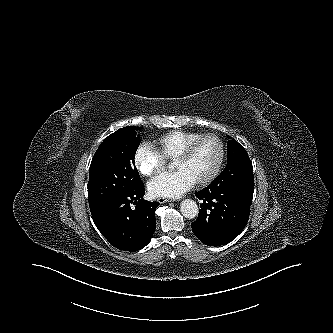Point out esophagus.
Returning <instances> with one entry per match:
<instances>
[{
    "label": "esophagus",
    "instance_id": "obj_1",
    "mask_svg": "<svg viewBox=\"0 0 333 333\" xmlns=\"http://www.w3.org/2000/svg\"><path fill=\"white\" fill-rule=\"evenodd\" d=\"M171 201L172 200L169 198H163V197L158 198V202L161 204L166 203V202H171Z\"/></svg>",
    "mask_w": 333,
    "mask_h": 333
}]
</instances>
